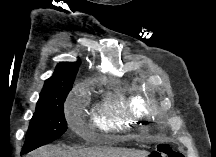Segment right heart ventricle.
<instances>
[{"mask_svg":"<svg viewBox=\"0 0 216 157\" xmlns=\"http://www.w3.org/2000/svg\"><path fill=\"white\" fill-rule=\"evenodd\" d=\"M143 103L138 92L116 88L105 94L97 103L92 122L105 132H127L142 120Z\"/></svg>","mask_w":216,"mask_h":157,"instance_id":"1","label":"right heart ventricle"}]
</instances>
